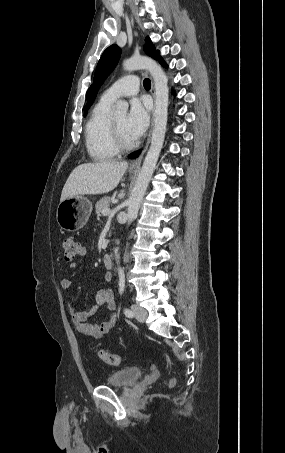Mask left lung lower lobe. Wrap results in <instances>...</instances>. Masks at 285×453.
Masks as SVG:
<instances>
[{
	"mask_svg": "<svg viewBox=\"0 0 285 453\" xmlns=\"http://www.w3.org/2000/svg\"><path fill=\"white\" fill-rule=\"evenodd\" d=\"M158 60L163 66H165V67L167 66L166 63L163 61V59L161 57ZM139 154H140V151H137V152H134V153L130 154L128 157L129 158H136V157H138Z\"/></svg>",
	"mask_w": 285,
	"mask_h": 453,
	"instance_id": "obj_1",
	"label": "left lung lower lobe"
}]
</instances>
